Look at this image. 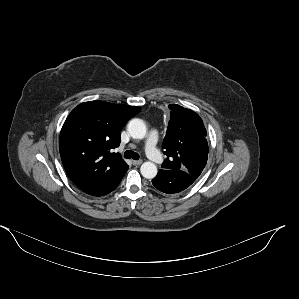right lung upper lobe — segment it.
Instances as JSON below:
<instances>
[{"mask_svg": "<svg viewBox=\"0 0 299 299\" xmlns=\"http://www.w3.org/2000/svg\"><path fill=\"white\" fill-rule=\"evenodd\" d=\"M140 107L103 101L75 107L61 129L59 151L72 182L93 196L113 191L128 169L119 153L120 131Z\"/></svg>", "mask_w": 299, "mask_h": 299, "instance_id": "obj_1", "label": "right lung upper lobe"}]
</instances>
